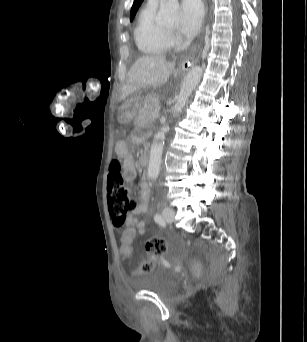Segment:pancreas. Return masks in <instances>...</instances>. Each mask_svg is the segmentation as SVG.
Returning a JSON list of instances; mask_svg holds the SVG:
<instances>
[{
    "mask_svg": "<svg viewBox=\"0 0 307 342\" xmlns=\"http://www.w3.org/2000/svg\"><path fill=\"white\" fill-rule=\"evenodd\" d=\"M158 108L159 104L156 98L151 97L143 100L142 108L140 110V112H142V119H149L150 116H152V118H158Z\"/></svg>",
    "mask_w": 307,
    "mask_h": 342,
    "instance_id": "cf45deb5",
    "label": "pancreas"
}]
</instances>
